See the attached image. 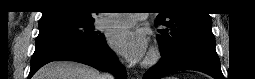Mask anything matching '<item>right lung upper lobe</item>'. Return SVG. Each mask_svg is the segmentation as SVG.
<instances>
[{
	"instance_id": "1",
	"label": "right lung upper lobe",
	"mask_w": 255,
	"mask_h": 79,
	"mask_svg": "<svg viewBox=\"0 0 255 79\" xmlns=\"http://www.w3.org/2000/svg\"><path fill=\"white\" fill-rule=\"evenodd\" d=\"M95 10L92 0H48L40 20L71 16L85 21H93Z\"/></svg>"
}]
</instances>
